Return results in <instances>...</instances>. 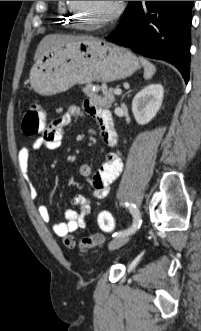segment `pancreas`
<instances>
[{"instance_id": "cf45deb5", "label": "pancreas", "mask_w": 201, "mask_h": 331, "mask_svg": "<svg viewBox=\"0 0 201 331\" xmlns=\"http://www.w3.org/2000/svg\"><path fill=\"white\" fill-rule=\"evenodd\" d=\"M93 84L86 83L82 88L83 93L88 96L94 103L100 107L110 108L115 103L116 98L114 96V89H110L104 95H99V87L95 91L92 90Z\"/></svg>"}]
</instances>
